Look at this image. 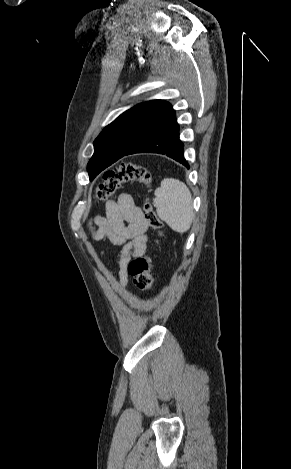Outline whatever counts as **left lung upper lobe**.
<instances>
[{"label": "left lung upper lobe", "mask_w": 291, "mask_h": 469, "mask_svg": "<svg viewBox=\"0 0 291 469\" xmlns=\"http://www.w3.org/2000/svg\"><path fill=\"white\" fill-rule=\"evenodd\" d=\"M172 105L164 100L139 103L106 126L94 141V154L87 168L90 180L113 164L151 131L173 114Z\"/></svg>", "instance_id": "5c2ea615"}]
</instances>
